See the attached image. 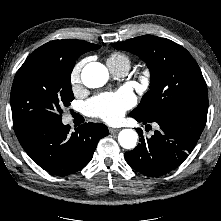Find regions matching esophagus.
<instances>
[{
  "instance_id": "34e87169",
  "label": "esophagus",
  "mask_w": 221,
  "mask_h": 221,
  "mask_svg": "<svg viewBox=\"0 0 221 221\" xmlns=\"http://www.w3.org/2000/svg\"><path fill=\"white\" fill-rule=\"evenodd\" d=\"M119 130H120V129H118V128H109V132H110L111 134L117 133Z\"/></svg>"
}]
</instances>
